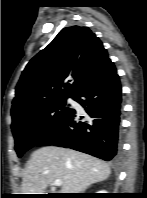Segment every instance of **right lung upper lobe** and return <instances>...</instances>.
Segmentation results:
<instances>
[{"label":"right lung upper lobe","mask_w":147,"mask_h":198,"mask_svg":"<svg viewBox=\"0 0 147 198\" xmlns=\"http://www.w3.org/2000/svg\"><path fill=\"white\" fill-rule=\"evenodd\" d=\"M109 61L102 42L89 28H63L24 69L12 102V121L52 101L74 98Z\"/></svg>","instance_id":"right-lung-upper-lobe-1"}]
</instances>
